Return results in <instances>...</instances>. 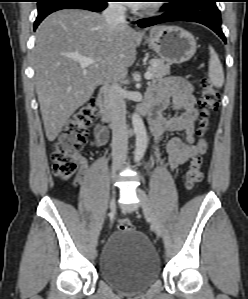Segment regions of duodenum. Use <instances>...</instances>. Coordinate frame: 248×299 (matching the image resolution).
I'll return each instance as SVG.
<instances>
[{
    "mask_svg": "<svg viewBox=\"0 0 248 299\" xmlns=\"http://www.w3.org/2000/svg\"><path fill=\"white\" fill-rule=\"evenodd\" d=\"M97 104L100 110V116L103 122L109 123L113 120L115 110L112 103V86L111 84H105L99 91L97 97ZM148 105L142 104L138 107V112L141 114H147Z\"/></svg>",
    "mask_w": 248,
    "mask_h": 299,
    "instance_id": "410a0bca",
    "label": "duodenum"
}]
</instances>
